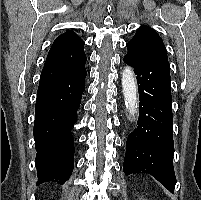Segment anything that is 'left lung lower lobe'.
<instances>
[{"mask_svg": "<svg viewBox=\"0 0 201 200\" xmlns=\"http://www.w3.org/2000/svg\"><path fill=\"white\" fill-rule=\"evenodd\" d=\"M124 62L137 75L140 102L137 127L126 142L123 171L126 176L148 173L173 192L176 177L169 63L140 62L127 55Z\"/></svg>", "mask_w": 201, "mask_h": 200, "instance_id": "1", "label": "left lung lower lobe"}]
</instances>
